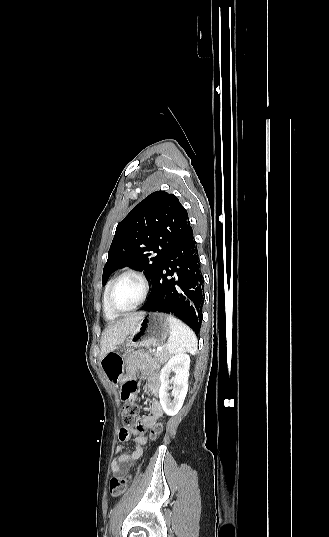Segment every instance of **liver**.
Wrapping results in <instances>:
<instances>
[{"label": "liver", "instance_id": "6515ba94", "mask_svg": "<svg viewBox=\"0 0 329 537\" xmlns=\"http://www.w3.org/2000/svg\"><path fill=\"white\" fill-rule=\"evenodd\" d=\"M143 313H136L128 316L121 321L109 325L103 332L101 337V355L102 359L108 352L121 344L127 336L133 331Z\"/></svg>", "mask_w": 329, "mask_h": 537}]
</instances>
